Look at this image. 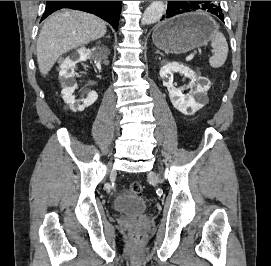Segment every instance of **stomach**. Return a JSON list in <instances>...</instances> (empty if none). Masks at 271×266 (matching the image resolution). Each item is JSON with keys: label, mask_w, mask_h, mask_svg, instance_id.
I'll list each match as a JSON object with an SVG mask.
<instances>
[{"label": "stomach", "mask_w": 271, "mask_h": 266, "mask_svg": "<svg viewBox=\"0 0 271 266\" xmlns=\"http://www.w3.org/2000/svg\"><path fill=\"white\" fill-rule=\"evenodd\" d=\"M215 30L217 25L209 15L195 11L159 23L152 40L167 53L181 54L206 45Z\"/></svg>", "instance_id": "1"}]
</instances>
